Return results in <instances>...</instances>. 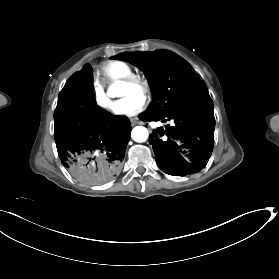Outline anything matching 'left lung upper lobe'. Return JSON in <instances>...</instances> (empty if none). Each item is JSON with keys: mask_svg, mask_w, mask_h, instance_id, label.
Instances as JSON below:
<instances>
[{"mask_svg": "<svg viewBox=\"0 0 279 279\" xmlns=\"http://www.w3.org/2000/svg\"><path fill=\"white\" fill-rule=\"evenodd\" d=\"M111 59L129 62L146 75L153 93V101L145 113L167 114L209 95L207 87L194 69L167 51L123 53Z\"/></svg>", "mask_w": 279, "mask_h": 279, "instance_id": "1", "label": "left lung upper lobe"}]
</instances>
